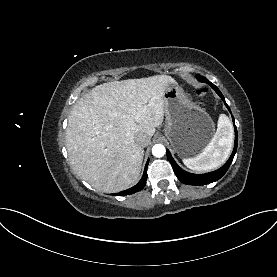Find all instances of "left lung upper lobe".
<instances>
[{
	"label": "left lung upper lobe",
	"instance_id": "obj_1",
	"mask_svg": "<svg viewBox=\"0 0 277 277\" xmlns=\"http://www.w3.org/2000/svg\"><path fill=\"white\" fill-rule=\"evenodd\" d=\"M197 77H200V78H205V77H203V76H200V75H197Z\"/></svg>",
	"mask_w": 277,
	"mask_h": 277
}]
</instances>
